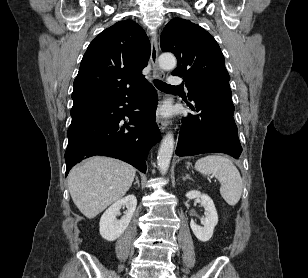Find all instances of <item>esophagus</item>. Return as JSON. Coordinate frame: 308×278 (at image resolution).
<instances>
[{"label": "esophagus", "mask_w": 308, "mask_h": 278, "mask_svg": "<svg viewBox=\"0 0 308 278\" xmlns=\"http://www.w3.org/2000/svg\"><path fill=\"white\" fill-rule=\"evenodd\" d=\"M158 40H157V35L153 34L151 37V55H150V60L152 63L153 67V76L155 79H162L164 78V72L160 69L158 65ZM157 125L161 131H165L168 127V121L161 118L157 117Z\"/></svg>", "instance_id": "34e87169"}]
</instances>
